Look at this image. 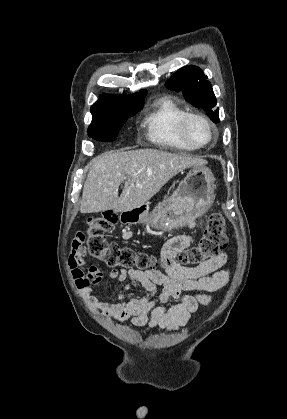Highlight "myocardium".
<instances>
[{
	"instance_id": "1",
	"label": "myocardium",
	"mask_w": 287,
	"mask_h": 419,
	"mask_svg": "<svg viewBox=\"0 0 287 419\" xmlns=\"http://www.w3.org/2000/svg\"><path fill=\"white\" fill-rule=\"evenodd\" d=\"M200 120L201 122H203L209 132H210V137L208 139V141L204 142V143H195L193 142L188 134H187V125L188 122L190 120ZM178 132L181 136V138L190 146L194 147L195 149L198 148H203L206 147L208 145H210L216 138V131H215V127L213 126V124L211 123V121L204 115L200 114V113H196V112H186L178 121Z\"/></svg>"
}]
</instances>
